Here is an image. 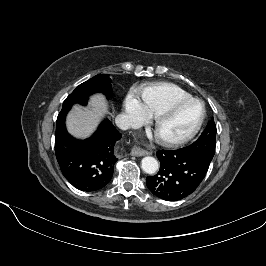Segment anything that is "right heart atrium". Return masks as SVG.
I'll return each instance as SVG.
<instances>
[{"label": "right heart atrium", "instance_id": "right-heart-atrium-1", "mask_svg": "<svg viewBox=\"0 0 266 266\" xmlns=\"http://www.w3.org/2000/svg\"><path fill=\"white\" fill-rule=\"evenodd\" d=\"M124 110L130 126H138L148 122L151 115L143 101L135 92H130L124 101Z\"/></svg>", "mask_w": 266, "mask_h": 266}]
</instances>
